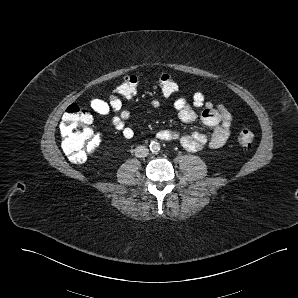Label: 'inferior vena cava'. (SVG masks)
<instances>
[{
    "label": "inferior vena cava",
    "instance_id": "obj_1",
    "mask_svg": "<svg viewBox=\"0 0 298 298\" xmlns=\"http://www.w3.org/2000/svg\"><path fill=\"white\" fill-rule=\"evenodd\" d=\"M149 154V150L146 146H137L135 148V156L142 158V157H146Z\"/></svg>",
    "mask_w": 298,
    "mask_h": 298
}]
</instances>
